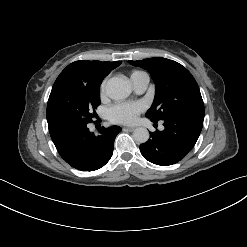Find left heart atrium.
<instances>
[{
  "mask_svg": "<svg viewBox=\"0 0 247 247\" xmlns=\"http://www.w3.org/2000/svg\"><path fill=\"white\" fill-rule=\"evenodd\" d=\"M145 109L141 102H122L109 109V118L115 123L130 124L136 121L138 115Z\"/></svg>",
  "mask_w": 247,
  "mask_h": 247,
  "instance_id": "left-heart-atrium-1",
  "label": "left heart atrium"
}]
</instances>
